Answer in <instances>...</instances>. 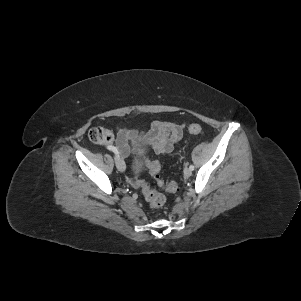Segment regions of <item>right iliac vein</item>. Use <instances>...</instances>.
Instances as JSON below:
<instances>
[{
    "label": "right iliac vein",
    "instance_id": "63e3f726",
    "mask_svg": "<svg viewBox=\"0 0 301 301\" xmlns=\"http://www.w3.org/2000/svg\"><path fill=\"white\" fill-rule=\"evenodd\" d=\"M115 163H116V166H117V168L120 172L125 171V168H126L125 163L120 157L115 156Z\"/></svg>",
    "mask_w": 301,
    "mask_h": 301
}]
</instances>
